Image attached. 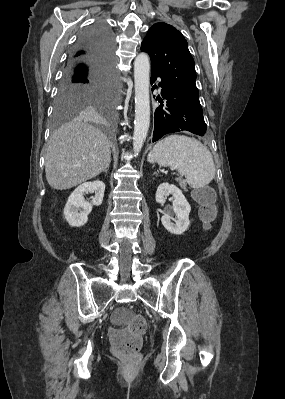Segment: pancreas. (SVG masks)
Returning a JSON list of instances; mask_svg holds the SVG:
<instances>
[{
	"label": "pancreas",
	"instance_id": "obj_1",
	"mask_svg": "<svg viewBox=\"0 0 285 399\" xmlns=\"http://www.w3.org/2000/svg\"><path fill=\"white\" fill-rule=\"evenodd\" d=\"M178 182H179V184H180V186H181L182 188H185V187H186V184H185V182H184L182 179H178Z\"/></svg>",
	"mask_w": 285,
	"mask_h": 399
}]
</instances>
